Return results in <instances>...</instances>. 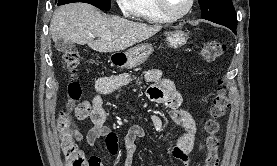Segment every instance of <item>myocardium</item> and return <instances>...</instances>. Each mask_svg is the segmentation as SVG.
<instances>
[{
    "instance_id": "myocardium-1",
    "label": "myocardium",
    "mask_w": 277,
    "mask_h": 166,
    "mask_svg": "<svg viewBox=\"0 0 277 166\" xmlns=\"http://www.w3.org/2000/svg\"><path fill=\"white\" fill-rule=\"evenodd\" d=\"M155 1H156V5H157L160 13L164 17H166L170 21H176V20L184 18L185 16H187L190 13V11L192 10V8L194 6L195 0H188V4H187L186 8L182 12L177 13V14H174L169 11L165 0H155Z\"/></svg>"
}]
</instances>
